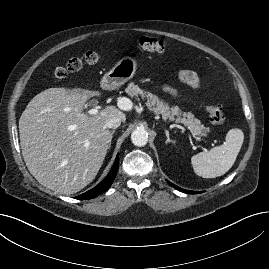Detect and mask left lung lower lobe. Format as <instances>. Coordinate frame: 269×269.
<instances>
[{
  "mask_svg": "<svg viewBox=\"0 0 269 269\" xmlns=\"http://www.w3.org/2000/svg\"><path fill=\"white\" fill-rule=\"evenodd\" d=\"M172 187H174L175 189L181 191V192H184V193H188V194H197V193H200L199 191H189V190H185V189H182L174 184H172L171 182L167 181Z\"/></svg>",
  "mask_w": 269,
  "mask_h": 269,
  "instance_id": "left-lung-lower-lobe-1",
  "label": "left lung lower lobe"
}]
</instances>
